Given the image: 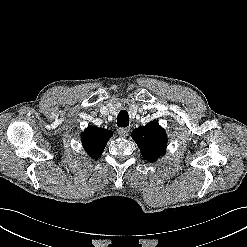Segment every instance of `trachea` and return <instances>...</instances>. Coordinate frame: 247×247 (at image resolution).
<instances>
[{
	"mask_svg": "<svg viewBox=\"0 0 247 247\" xmlns=\"http://www.w3.org/2000/svg\"><path fill=\"white\" fill-rule=\"evenodd\" d=\"M129 125V115L126 111H121L117 117V126L127 127Z\"/></svg>",
	"mask_w": 247,
	"mask_h": 247,
	"instance_id": "1",
	"label": "trachea"
}]
</instances>
